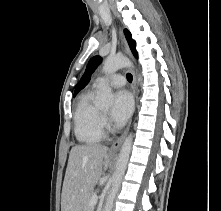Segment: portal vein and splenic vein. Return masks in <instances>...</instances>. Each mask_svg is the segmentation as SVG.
Masks as SVG:
<instances>
[{
  "label": "portal vein and splenic vein",
  "mask_w": 221,
  "mask_h": 211,
  "mask_svg": "<svg viewBox=\"0 0 221 211\" xmlns=\"http://www.w3.org/2000/svg\"><path fill=\"white\" fill-rule=\"evenodd\" d=\"M97 200H98V197H97L96 194H94V195L91 197V199H90V206H91L92 208H94V206L96 205Z\"/></svg>",
  "instance_id": "1"
}]
</instances>
